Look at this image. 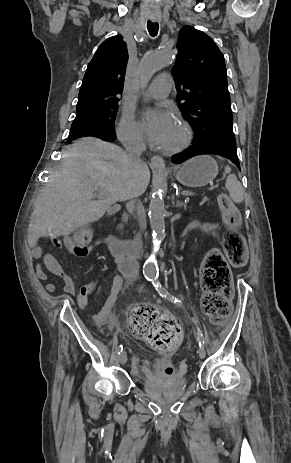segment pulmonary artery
<instances>
[{
  "instance_id": "e3ab8cb5",
  "label": "pulmonary artery",
  "mask_w": 291,
  "mask_h": 463,
  "mask_svg": "<svg viewBox=\"0 0 291 463\" xmlns=\"http://www.w3.org/2000/svg\"><path fill=\"white\" fill-rule=\"evenodd\" d=\"M173 87V79L169 74L157 76L148 87L145 96L148 99L166 98Z\"/></svg>"
}]
</instances>
